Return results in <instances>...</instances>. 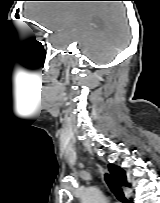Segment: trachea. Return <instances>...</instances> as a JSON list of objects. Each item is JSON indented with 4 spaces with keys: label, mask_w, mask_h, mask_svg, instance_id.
Masks as SVG:
<instances>
[{
    "label": "trachea",
    "mask_w": 160,
    "mask_h": 203,
    "mask_svg": "<svg viewBox=\"0 0 160 203\" xmlns=\"http://www.w3.org/2000/svg\"><path fill=\"white\" fill-rule=\"evenodd\" d=\"M105 181L110 190L122 203H129L126 197L124 196L122 189L113 181V179L108 174H105Z\"/></svg>",
    "instance_id": "trachea-1"
}]
</instances>
